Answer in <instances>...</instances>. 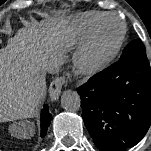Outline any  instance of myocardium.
Returning a JSON list of instances; mask_svg holds the SVG:
<instances>
[{
	"label": "myocardium",
	"instance_id": "f54148a6",
	"mask_svg": "<svg viewBox=\"0 0 151 151\" xmlns=\"http://www.w3.org/2000/svg\"><path fill=\"white\" fill-rule=\"evenodd\" d=\"M110 18L117 19L120 22L121 32L112 49L105 55L97 57L93 54L94 42L101 26ZM126 33V23L116 13H107L101 17L87 34L76 53L75 61L79 70L84 74H95L109 66L119 54L126 37Z\"/></svg>",
	"mask_w": 151,
	"mask_h": 151
}]
</instances>
